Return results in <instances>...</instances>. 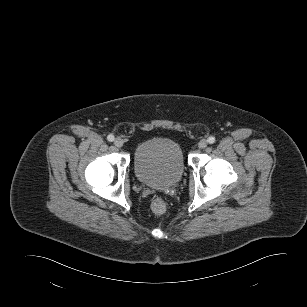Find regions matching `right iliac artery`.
Segmentation results:
<instances>
[{"label":"right iliac artery","instance_id":"82829eb1","mask_svg":"<svg viewBox=\"0 0 307 307\" xmlns=\"http://www.w3.org/2000/svg\"><path fill=\"white\" fill-rule=\"evenodd\" d=\"M107 140L110 142L114 141V136L112 134L108 135Z\"/></svg>","mask_w":307,"mask_h":307}]
</instances>
